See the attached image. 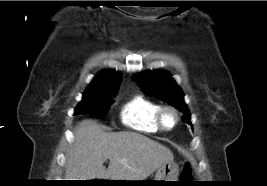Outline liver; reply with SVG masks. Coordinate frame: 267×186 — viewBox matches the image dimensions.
Listing matches in <instances>:
<instances>
[{"label":"liver","instance_id":"1","mask_svg":"<svg viewBox=\"0 0 267 186\" xmlns=\"http://www.w3.org/2000/svg\"><path fill=\"white\" fill-rule=\"evenodd\" d=\"M107 159L106 169L103 164ZM170 161L173 154L168 148L142 134L106 133L96 122L82 120L74 130L65 178L141 181Z\"/></svg>","mask_w":267,"mask_h":186}]
</instances>
